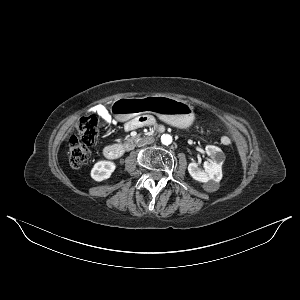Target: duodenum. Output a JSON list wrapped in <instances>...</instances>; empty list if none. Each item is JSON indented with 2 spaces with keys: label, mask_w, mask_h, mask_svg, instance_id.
<instances>
[{
  "label": "duodenum",
  "mask_w": 300,
  "mask_h": 300,
  "mask_svg": "<svg viewBox=\"0 0 300 300\" xmlns=\"http://www.w3.org/2000/svg\"><path fill=\"white\" fill-rule=\"evenodd\" d=\"M126 150V146L122 143L109 144L104 147L103 154L108 159H118L125 154Z\"/></svg>",
  "instance_id": "duodenum-1"
}]
</instances>
